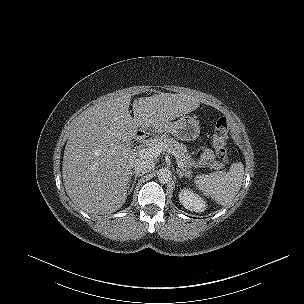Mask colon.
<instances>
[{"instance_id":"1","label":"colon","mask_w":304,"mask_h":304,"mask_svg":"<svg viewBox=\"0 0 304 304\" xmlns=\"http://www.w3.org/2000/svg\"><path fill=\"white\" fill-rule=\"evenodd\" d=\"M229 125L226 118H220L214 127L212 133V145L219 158L224 161L228 160V139Z\"/></svg>"}]
</instances>
